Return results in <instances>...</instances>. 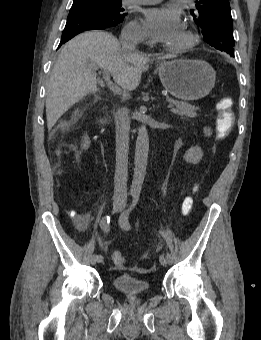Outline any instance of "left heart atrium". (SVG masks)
<instances>
[{
  "mask_svg": "<svg viewBox=\"0 0 261 340\" xmlns=\"http://www.w3.org/2000/svg\"><path fill=\"white\" fill-rule=\"evenodd\" d=\"M143 14L148 34L160 44L170 45L182 29L180 15L174 9L148 8Z\"/></svg>",
  "mask_w": 261,
  "mask_h": 340,
  "instance_id": "left-heart-atrium-1",
  "label": "left heart atrium"
}]
</instances>
